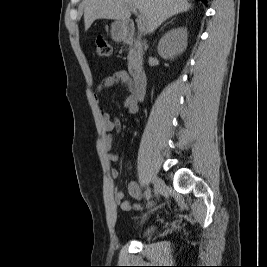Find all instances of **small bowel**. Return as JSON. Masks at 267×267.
<instances>
[{"label":"small bowel","mask_w":267,"mask_h":267,"mask_svg":"<svg viewBox=\"0 0 267 267\" xmlns=\"http://www.w3.org/2000/svg\"><path fill=\"white\" fill-rule=\"evenodd\" d=\"M117 84H124L128 89L132 88L131 79L126 71L119 70L113 75L104 77L96 88L95 98L99 99L100 93L104 89L112 88ZM123 105L128 114H135L138 111V101L132 94H129L124 98ZM101 119L104 131V137L102 140L103 149L107 153V158L109 161L117 162L119 157L112 151L114 143L113 132L121 129V123L118 119L112 118L111 115L105 110H102L101 112ZM109 175L112 179H116L119 175V172L116 169L111 168ZM127 189L132 198L137 200L142 198V191L137 182H129ZM113 197L115 203L119 204L124 211H138L140 209L139 204L131 203L125 200V193L121 190H115Z\"/></svg>","instance_id":"1"}]
</instances>
